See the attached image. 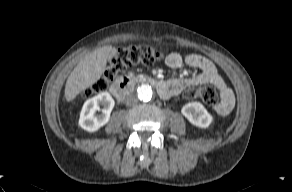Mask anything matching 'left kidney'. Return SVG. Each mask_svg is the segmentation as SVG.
Segmentation results:
<instances>
[{"instance_id":"left-kidney-1","label":"left kidney","mask_w":292,"mask_h":192,"mask_svg":"<svg viewBox=\"0 0 292 192\" xmlns=\"http://www.w3.org/2000/svg\"><path fill=\"white\" fill-rule=\"evenodd\" d=\"M181 112L191 124L199 128H207L213 120L212 115L200 102L185 104Z\"/></svg>"}]
</instances>
